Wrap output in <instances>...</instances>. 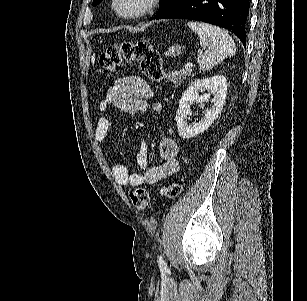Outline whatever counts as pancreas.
I'll return each mask as SVG.
<instances>
[{
  "mask_svg": "<svg viewBox=\"0 0 307 301\" xmlns=\"http://www.w3.org/2000/svg\"><path fill=\"white\" fill-rule=\"evenodd\" d=\"M187 76H191V72H187V70H172V72H168V80H171L173 84H181Z\"/></svg>",
  "mask_w": 307,
  "mask_h": 301,
  "instance_id": "pancreas-1",
  "label": "pancreas"
}]
</instances>
